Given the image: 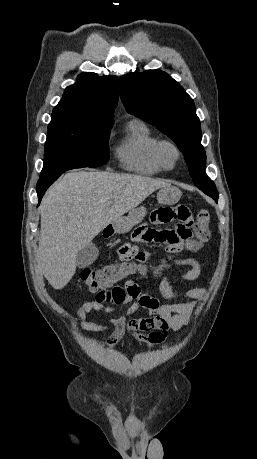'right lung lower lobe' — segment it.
Instances as JSON below:
<instances>
[{
	"instance_id": "1",
	"label": "right lung lower lobe",
	"mask_w": 257,
	"mask_h": 459,
	"mask_svg": "<svg viewBox=\"0 0 257 459\" xmlns=\"http://www.w3.org/2000/svg\"><path fill=\"white\" fill-rule=\"evenodd\" d=\"M67 169L60 170L58 172L52 173V174H45L41 173L40 179L37 183V194H38V199L39 202L42 199V196L44 195L45 191L48 189V187L55 181L57 180Z\"/></svg>"
}]
</instances>
